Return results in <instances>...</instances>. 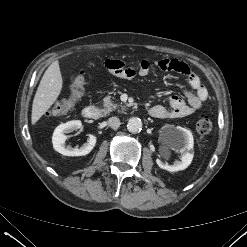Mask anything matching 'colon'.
I'll return each instance as SVG.
<instances>
[{
    "label": "colon",
    "instance_id": "5ec220e1",
    "mask_svg": "<svg viewBox=\"0 0 247 247\" xmlns=\"http://www.w3.org/2000/svg\"><path fill=\"white\" fill-rule=\"evenodd\" d=\"M84 84V76L82 74L76 75L72 79L68 98L55 104L48 111V114L50 116H61L68 113L84 95ZM212 127V121L205 115L201 116L195 124L196 131L202 135L208 134L212 130Z\"/></svg>",
    "mask_w": 247,
    "mask_h": 247
}]
</instances>
